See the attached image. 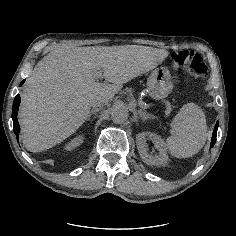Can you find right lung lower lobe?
<instances>
[{"mask_svg": "<svg viewBox=\"0 0 236 236\" xmlns=\"http://www.w3.org/2000/svg\"><path fill=\"white\" fill-rule=\"evenodd\" d=\"M25 80L21 82L20 85L24 83ZM20 95H16L14 102H13V107H12V119H13V126H14V133L16 134V137L18 139V134L20 132V126L17 120V113H18V108L20 105Z\"/></svg>", "mask_w": 236, "mask_h": 236, "instance_id": "1", "label": "right lung lower lobe"}]
</instances>
